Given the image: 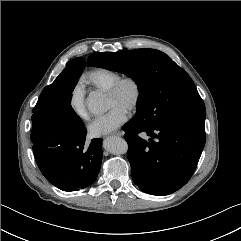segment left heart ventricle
I'll return each instance as SVG.
<instances>
[{
	"label": "left heart ventricle",
	"mask_w": 241,
	"mask_h": 241,
	"mask_svg": "<svg viewBox=\"0 0 241 241\" xmlns=\"http://www.w3.org/2000/svg\"><path fill=\"white\" fill-rule=\"evenodd\" d=\"M134 98V88L132 84L126 83L124 84L119 93L115 96H106L107 108L111 109L114 106L122 107L128 110Z\"/></svg>",
	"instance_id": "1"
}]
</instances>
